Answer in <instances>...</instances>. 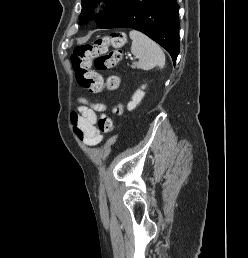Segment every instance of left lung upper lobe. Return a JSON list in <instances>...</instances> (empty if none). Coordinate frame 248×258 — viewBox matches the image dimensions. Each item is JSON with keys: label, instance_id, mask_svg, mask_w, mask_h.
<instances>
[{"label": "left lung upper lobe", "instance_id": "left-lung-upper-lobe-1", "mask_svg": "<svg viewBox=\"0 0 248 258\" xmlns=\"http://www.w3.org/2000/svg\"><path fill=\"white\" fill-rule=\"evenodd\" d=\"M105 1L109 8L108 10L102 12L96 19L98 26L106 24L111 20L125 5L129 0H82V11L80 14V24L86 23L90 20L92 16L91 7L96 2Z\"/></svg>", "mask_w": 248, "mask_h": 258}]
</instances>
